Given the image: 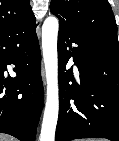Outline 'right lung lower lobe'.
<instances>
[{
    "instance_id": "1",
    "label": "right lung lower lobe",
    "mask_w": 119,
    "mask_h": 141,
    "mask_svg": "<svg viewBox=\"0 0 119 141\" xmlns=\"http://www.w3.org/2000/svg\"><path fill=\"white\" fill-rule=\"evenodd\" d=\"M36 22L0 36V132L35 141L43 107L41 54ZM14 64L16 77H4Z\"/></svg>"
}]
</instances>
